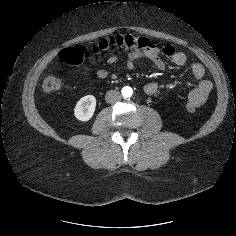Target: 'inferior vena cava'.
<instances>
[{
  "label": "inferior vena cava",
  "mask_w": 236,
  "mask_h": 236,
  "mask_svg": "<svg viewBox=\"0 0 236 236\" xmlns=\"http://www.w3.org/2000/svg\"><path fill=\"white\" fill-rule=\"evenodd\" d=\"M121 99H122L121 93L116 90H110L105 95V100L107 103L113 104V103L121 101Z\"/></svg>",
  "instance_id": "inferior-vena-cava-1"
}]
</instances>
